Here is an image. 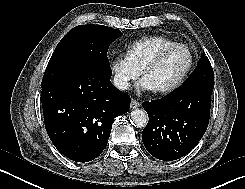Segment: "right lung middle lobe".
<instances>
[{"label":"right lung middle lobe","mask_w":245,"mask_h":189,"mask_svg":"<svg viewBox=\"0 0 245 189\" xmlns=\"http://www.w3.org/2000/svg\"><path fill=\"white\" fill-rule=\"evenodd\" d=\"M122 36L120 30L103 25H80L69 31L55 48L41 87L51 86L93 63L110 65L109 45Z\"/></svg>","instance_id":"1"}]
</instances>
